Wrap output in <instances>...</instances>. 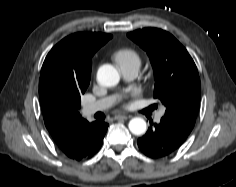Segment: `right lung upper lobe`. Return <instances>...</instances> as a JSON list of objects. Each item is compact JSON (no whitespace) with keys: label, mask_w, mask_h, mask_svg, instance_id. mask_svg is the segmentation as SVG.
I'll list each match as a JSON object with an SVG mask.
<instances>
[{"label":"right lung upper lobe","mask_w":236,"mask_h":187,"mask_svg":"<svg viewBox=\"0 0 236 187\" xmlns=\"http://www.w3.org/2000/svg\"><path fill=\"white\" fill-rule=\"evenodd\" d=\"M112 35L105 33H75L56 44L45 58L40 81L39 98L45 126L59 148L72 159L77 158L91 123L78 110L54 99L50 86L54 80L77 87L89 85L92 56Z\"/></svg>","instance_id":"1"}]
</instances>
